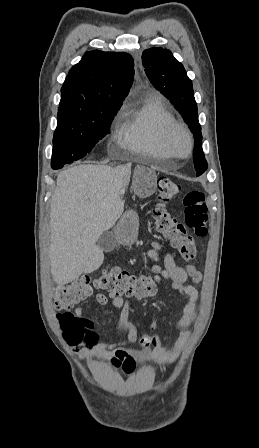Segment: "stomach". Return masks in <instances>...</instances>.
I'll list each match as a JSON object with an SVG mask.
<instances>
[{
	"instance_id": "obj_1",
	"label": "stomach",
	"mask_w": 259,
	"mask_h": 448,
	"mask_svg": "<svg viewBox=\"0 0 259 448\" xmlns=\"http://www.w3.org/2000/svg\"><path fill=\"white\" fill-rule=\"evenodd\" d=\"M140 213L134 212L133 208L129 209V212L123 213V218L119 220L117 226H115L116 240L123 244V246H130L137 240Z\"/></svg>"
}]
</instances>
